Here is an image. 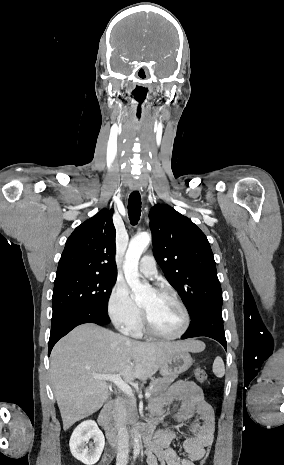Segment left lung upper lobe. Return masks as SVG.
Returning a JSON list of instances; mask_svg holds the SVG:
<instances>
[{
	"label": "left lung upper lobe",
	"mask_w": 284,
	"mask_h": 465,
	"mask_svg": "<svg viewBox=\"0 0 284 465\" xmlns=\"http://www.w3.org/2000/svg\"><path fill=\"white\" fill-rule=\"evenodd\" d=\"M149 216L155 259L190 317L206 308H222V290L205 234L168 205H155Z\"/></svg>",
	"instance_id": "5c2ea615"
}]
</instances>
